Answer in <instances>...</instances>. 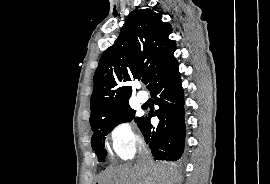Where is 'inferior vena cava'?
<instances>
[{
	"instance_id": "1",
	"label": "inferior vena cava",
	"mask_w": 270,
	"mask_h": 184,
	"mask_svg": "<svg viewBox=\"0 0 270 184\" xmlns=\"http://www.w3.org/2000/svg\"><path fill=\"white\" fill-rule=\"evenodd\" d=\"M139 164H141L144 167H151V165L153 164L150 157V152L144 144H142V151Z\"/></svg>"
}]
</instances>
